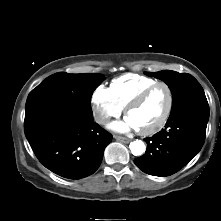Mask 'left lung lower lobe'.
<instances>
[{
    "label": "left lung lower lobe",
    "instance_id": "obj_1",
    "mask_svg": "<svg viewBox=\"0 0 221 221\" xmlns=\"http://www.w3.org/2000/svg\"><path fill=\"white\" fill-rule=\"evenodd\" d=\"M209 119L205 95L191 98L171 110L165 128L145 138L147 149L134 160L145 173L165 177L183 168L202 148Z\"/></svg>",
    "mask_w": 221,
    "mask_h": 221
}]
</instances>
